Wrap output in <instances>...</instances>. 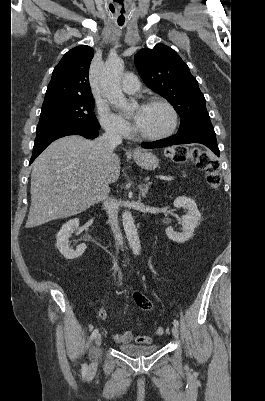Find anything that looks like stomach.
<instances>
[{"mask_svg":"<svg viewBox=\"0 0 265 401\" xmlns=\"http://www.w3.org/2000/svg\"><path fill=\"white\" fill-rule=\"evenodd\" d=\"M133 158L141 168H145V170H155L157 166H159V158L153 154V152H149V150H141V148H137L133 154Z\"/></svg>","mask_w":265,"mask_h":401,"instance_id":"stomach-1","label":"stomach"}]
</instances>
